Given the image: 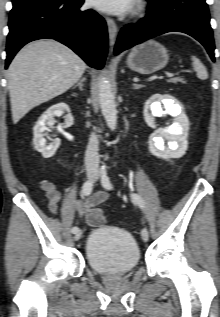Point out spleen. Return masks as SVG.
<instances>
[{
	"mask_svg": "<svg viewBox=\"0 0 220 317\" xmlns=\"http://www.w3.org/2000/svg\"><path fill=\"white\" fill-rule=\"evenodd\" d=\"M191 59H192V66L197 73V77L202 80L207 79L208 73L206 71L205 66L201 63V61L197 57L192 56Z\"/></svg>",
	"mask_w": 220,
	"mask_h": 317,
	"instance_id": "3e777b00",
	"label": "spleen"
}]
</instances>
